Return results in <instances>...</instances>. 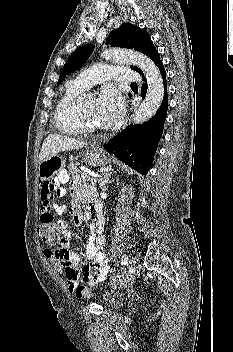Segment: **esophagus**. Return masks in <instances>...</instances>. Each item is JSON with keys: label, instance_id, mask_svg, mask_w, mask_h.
<instances>
[{"label": "esophagus", "instance_id": "esophagus-1", "mask_svg": "<svg viewBox=\"0 0 233 352\" xmlns=\"http://www.w3.org/2000/svg\"><path fill=\"white\" fill-rule=\"evenodd\" d=\"M129 120H130V115L127 117L126 122H125V125H127V123L129 122Z\"/></svg>", "mask_w": 233, "mask_h": 352}]
</instances>
